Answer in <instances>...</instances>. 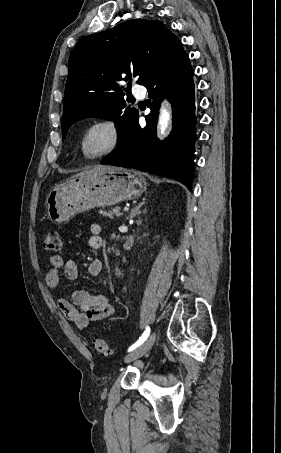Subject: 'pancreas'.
<instances>
[{"label": "pancreas", "instance_id": "pancreas-1", "mask_svg": "<svg viewBox=\"0 0 281 453\" xmlns=\"http://www.w3.org/2000/svg\"><path fill=\"white\" fill-rule=\"evenodd\" d=\"M100 214L103 216H109V218H114L116 216H120L122 212H120V206H115V208H111V210H100Z\"/></svg>", "mask_w": 281, "mask_h": 453}]
</instances>
